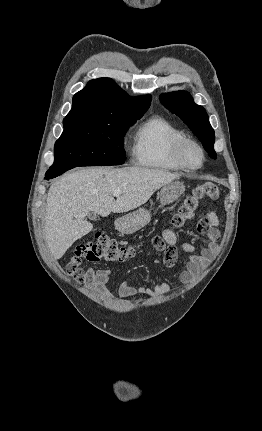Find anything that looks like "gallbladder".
<instances>
[{"mask_svg":"<svg viewBox=\"0 0 262 431\" xmlns=\"http://www.w3.org/2000/svg\"><path fill=\"white\" fill-rule=\"evenodd\" d=\"M89 219L94 220L96 218V214L95 213H89L88 214Z\"/></svg>","mask_w":262,"mask_h":431,"instance_id":"bac80fb5","label":"gallbladder"}]
</instances>
